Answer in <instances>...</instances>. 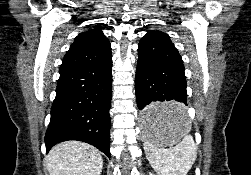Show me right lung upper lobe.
Segmentation results:
<instances>
[{
  "mask_svg": "<svg viewBox=\"0 0 251 175\" xmlns=\"http://www.w3.org/2000/svg\"><path fill=\"white\" fill-rule=\"evenodd\" d=\"M111 55L109 40L96 26L75 37L59 70L104 62Z\"/></svg>",
  "mask_w": 251,
  "mask_h": 175,
  "instance_id": "obj_1",
  "label": "right lung upper lobe"
}]
</instances>
